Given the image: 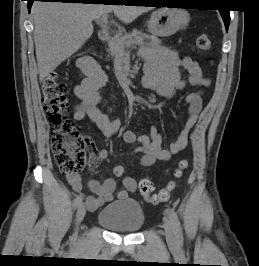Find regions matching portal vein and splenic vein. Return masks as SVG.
Here are the masks:
<instances>
[{
  "label": "portal vein and splenic vein",
  "mask_w": 259,
  "mask_h": 266,
  "mask_svg": "<svg viewBox=\"0 0 259 266\" xmlns=\"http://www.w3.org/2000/svg\"><path fill=\"white\" fill-rule=\"evenodd\" d=\"M97 21H99V23H100V25L102 26V27H105V28H107L108 27V15L107 14H104L99 20H97ZM137 45H144V43L143 42H138V43H136Z\"/></svg>",
  "instance_id": "portal-vein-and-splenic-vein-1"
}]
</instances>
